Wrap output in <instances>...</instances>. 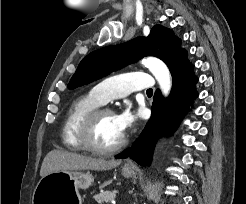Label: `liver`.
Segmentation results:
<instances>
[{"instance_id":"liver-1","label":"liver","mask_w":246,"mask_h":204,"mask_svg":"<svg viewBox=\"0 0 246 204\" xmlns=\"http://www.w3.org/2000/svg\"><path fill=\"white\" fill-rule=\"evenodd\" d=\"M121 164V160H106L72 153L68 151L52 150L45 156L40 176L44 177L58 171L74 170H111Z\"/></svg>"}]
</instances>
